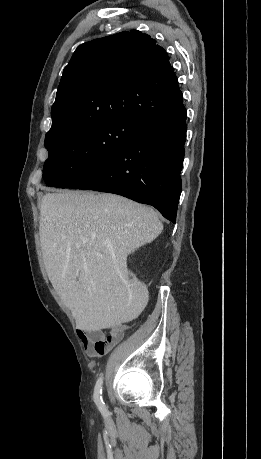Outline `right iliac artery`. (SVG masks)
<instances>
[{"instance_id":"right-iliac-artery-1","label":"right iliac artery","mask_w":261,"mask_h":459,"mask_svg":"<svg viewBox=\"0 0 261 459\" xmlns=\"http://www.w3.org/2000/svg\"><path fill=\"white\" fill-rule=\"evenodd\" d=\"M102 385H103V378L100 377L97 380V383H96V386H95L94 400H95L96 405L98 406L99 410L102 413H105L106 412V406H105V403H104V401L102 399Z\"/></svg>"}]
</instances>
